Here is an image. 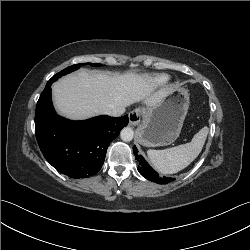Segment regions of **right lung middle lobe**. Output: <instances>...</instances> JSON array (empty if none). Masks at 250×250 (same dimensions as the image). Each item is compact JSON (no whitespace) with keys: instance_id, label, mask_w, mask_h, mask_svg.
<instances>
[{"instance_id":"1","label":"right lung middle lobe","mask_w":250,"mask_h":250,"mask_svg":"<svg viewBox=\"0 0 250 250\" xmlns=\"http://www.w3.org/2000/svg\"><path fill=\"white\" fill-rule=\"evenodd\" d=\"M87 64V63H86ZM88 64H90V65H92V66H102V64H95V63H88ZM81 65H84V64H75V65H72V66H70V67H68V68H65L64 70H62L61 72H59V73H57L56 75H54L52 78H51V80L52 81H56L59 77H61V76H63V75H66V74H68V73H70V72H72V71H75V70H77L78 68H80V66Z\"/></svg>"}]
</instances>
